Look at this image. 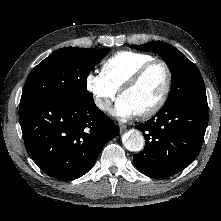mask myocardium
I'll return each mask as SVG.
<instances>
[{
	"mask_svg": "<svg viewBox=\"0 0 221 221\" xmlns=\"http://www.w3.org/2000/svg\"><path fill=\"white\" fill-rule=\"evenodd\" d=\"M160 64L164 67L166 71V85L164 88V91L159 98V100L149 109L144 110L142 112L136 113L135 116L139 119H148L154 115H156L166 104L171 88H172V82H173V74L170 66L167 62H165L162 59H153L146 63H144L142 66H140L120 87L119 89V98L129 89L133 88L143 77V75L154 65Z\"/></svg>",
	"mask_w": 221,
	"mask_h": 221,
	"instance_id": "obj_1",
	"label": "myocardium"
}]
</instances>
